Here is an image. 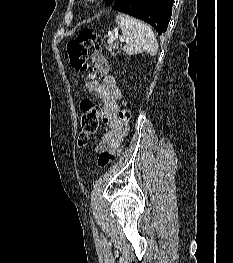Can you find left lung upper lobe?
Listing matches in <instances>:
<instances>
[{
    "instance_id": "1",
    "label": "left lung upper lobe",
    "mask_w": 233,
    "mask_h": 263,
    "mask_svg": "<svg viewBox=\"0 0 233 263\" xmlns=\"http://www.w3.org/2000/svg\"><path fill=\"white\" fill-rule=\"evenodd\" d=\"M115 0H106V4L107 5H110V4H113Z\"/></svg>"
}]
</instances>
